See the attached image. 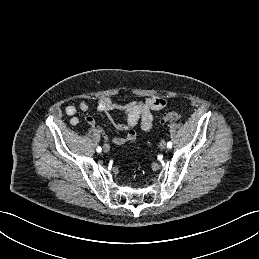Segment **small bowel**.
<instances>
[{
	"label": "small bowel",
	"mask_w": 259,
	"mask_h": 259,
	"mask_svg": "<svg viewBox=\"0 0 259 259\" xmlns=\"http://www.w3.org/2000/svg\"><path fill=\"white\" fill-rule=\"evenodd\" d=\"M166 106L164 99L156 96L148 97L142 101H132L127 104H119L112 101L108 97L101 98L97 101L95 109L99 112L106 113L113 121L116 128L123 132L122 135L108 136V138L116 145H125L133 142L137 135L134 127L140 124L143 132L149 131L154 122V111H159ZM89 105L86 102L79 104L81 111H88ZM77 107L75 105H68L65 109L66 114L70 117V124L76 125L79 118L76 116ZM113 111H120L124 115V122H116L112 116ZM86 122L90 125H95L96 121L93 117L87 116Z\"/></svg>",
	"instance_id": "obj_1"
}]
</instances>
